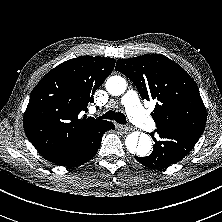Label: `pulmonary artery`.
I'll use <instances>...</instances> for the list:
<instances>
[{"label": "pulmonary artery", "mask_w": 222, "mask_h": 222, "mask_svg": "<svg viewBox=\"0 0 222 222\" xmlns=\"http://www.w3.org/2000/svg\"><path fill=\"white\" fill-rule=\"evenodd\" d=\"M122 104L125 106L130 119L145 131L156 129V123L152 117L141 107L135 91L129 90L122 97Z\"/></svg>", "instance_id": "pulmonary-artery-1"}]
</instances>
